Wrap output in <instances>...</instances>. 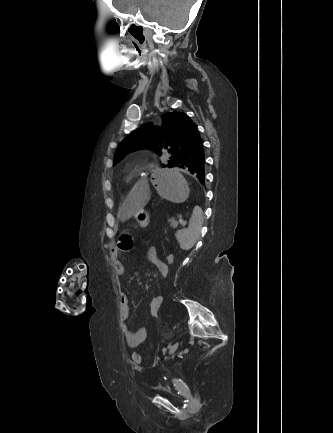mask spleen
<instances>
[{
  "label": "spleen",
  "mask_w": 333,
  "mask_h": 433,
  "mask_svg": "<svg viewBox=\"0 0 333 433\" xmlns=\"http://www.w3.org/2000/svg\"><path fill=\"white\" fill-rule=\"evenodd\" d=\"M203 213L199 206L193 209L192 217L187 228L178 230L176 238L183 250L191 249L200 237V231L203 224Z\"/></svg>",
  "instance_id": "spleen-1"
}]
</instances>
